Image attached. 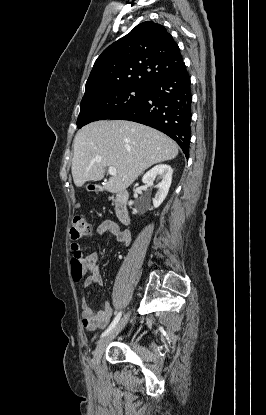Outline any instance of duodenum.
Returning a JSON list of instances; mask_svg holds the SVG:
<instances>
[{"label": "duodenum", "instance_id": "1", "mask_svg": "<svg viewBox=\"0 0 266 415\" xmlns=\"http://www.w3.org/2000/svg\"><path fill=\"white\" fill-rule=\"evenodd\" d=\"M96 191H102V187L96 186ZM128 198L129 194L126 190H117L114 194V209L115 214L119 221L123 224L129 223V213H128Z\"/></svg>", "mask_w": 266, "mask_h": 415}]
</instances>
